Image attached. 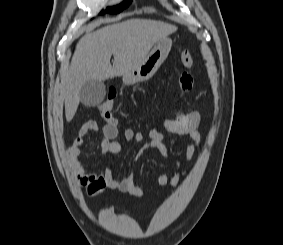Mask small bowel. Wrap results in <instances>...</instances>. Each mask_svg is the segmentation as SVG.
Listing matches in <instances>:
<instances>
[{
  "label": "small bowel",
  "mask_w": 283,
  "mask_h": 245,
  "mask_svg": "<svg viewBox=\"0 0 283 245\" xmlns=\"http://www.w3.org/2000/svg\"><path fill=\"white\" fill-rule=\"evenodd\" d=\"M193 77L190 73L184 72L179 78V85L185 92L193 87ZM201 114L198 112L179 113L172 118L164 120V128L171 134L182 137L186 143L185 157L187 161H191L194 154L201 143V134L199 127L201 124ZM98 130V125L95 121L91 120L82 125L79 134L74 140L73 144L67 150V156L71 170L74 174L76 181L86 187L89 195H100L107 189L117 190L124 193H130L135 196H142L143 190L137 187L134 183L132 171L120 180L113 177L112 170L107 167L99 174H92L85 171L82 166L81 146L84 142V137L93 131ZM101 151L103 155L110 158L119 154L123 145L129 142L142 143L144 141V134L132 128H127L123 132V139L119 137V130L117 124L107 122L102 128ZM155 149L163 156L169 155L168 149L164 144V134L156 128L148 131V140L145 141L139 151L137 152V159L145 150ZM175 172L168 178L162 174L157 176L156 184L159 186L170 185L177 186L181 180L186 176L187 170L183 169L180 160L175 161Z\"/></svg>",
  "instance_id": "small-bowel-1"
}]
</instances>
